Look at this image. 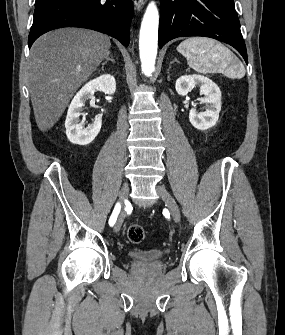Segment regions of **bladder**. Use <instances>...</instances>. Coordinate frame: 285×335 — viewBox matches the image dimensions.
<instances>
[{
    "label": "bladder",
    "instance_id": "obj_1",
    "mask_svg": "<svg viewBox=\"0 0 285 335\" xmlns=\"http://www.w3.org/2000/svg\"><path fill=\"white\" fill-rule=\"evenodd\" d=\"M126 254L129 260L135 265H158L164 261L167 252L151 248L127 251Z\"/></svg>",
    "mask_w": 285,
    "mask_h": 335
}]
</instances>
